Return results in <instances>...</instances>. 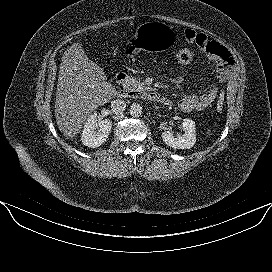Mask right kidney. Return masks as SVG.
Returning <instances> with one entry per match:
<instances>
[{
	"mask_svg": "<svg viewBox=\"0 0 272 272\" xmlns=\"http://www.w3.org/2000/svg\"><path fill=\"white\" fill-rule=\"evenodd\" d=\"M112 121L109 119L98 120L97 114H91L84 125L81 140L83 145L96 148L102 145L109 136Z\"/></svg>",
	"mask_w": 272,
	"mask_h": 272,
	"instance_id": "1",
	"label": "right kidney"
}]
</instances>
